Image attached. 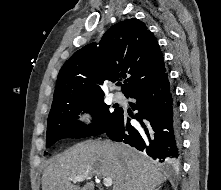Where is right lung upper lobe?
Segmentation results:
<instances>
[{"label": "right lung upper lobe", "instance_id": "cb5924a9", "mask_svg": "<svg viewBox=\"0 0 221 190\" xmlns=\"http://www.w3.org/2000/svg\"><path fill=\"white\" fill-rule=\"evenodd\" d=\"M166 73L163 54L153 33L135 18L111 26L99 46L76 51L59 71L52 106L103 98L104 80L127 79L125 96Z\"/></svg>", "mask_w": 221, "mask_h": 190}]
</instances>
